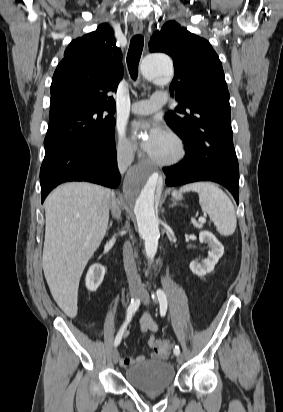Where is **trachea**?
Listing matches in <instances>:
<instances>
[{
	"label": "trachea",
	"mask_w": 283,
	"mask_h": 412,
	"mask_svg": "<svg viewBox=\"0 0 283 412\" xmlns=\"http://www.w3.org/2000/svg\"><path fill=\"white\" fill-rule=\"evenodd\" d=\"M144 38L142 35H135L131 41L127 53L128 70L133 80L138 76V65L142 54Z\"/></svg>",
	"instance_id": "3493384b"
}]
</instances>
